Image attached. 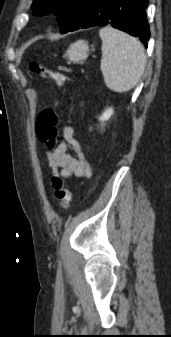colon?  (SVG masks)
<instances>
[{
    "label": "colon",
    "instance_id": "obj_1",
    "mask_svg": "<svg viewBox=\"0 0 171 337\" xmlns=\"http://www.w3.org/2000/svg\"><path fill=\"white\" fill-rule=\"evenodd\" d=\"M29 66L33 73L48 78L56 86H63L67 82L66 76L47 68L38 62H31ZM59 121L60 116L54 109H45L37 116L35 123L36 135L49 149H53L56 145L58 138L57 126ZM52 184L60 207L66 209L69 206L72 197L69 185L61 176L53 177Z\"/></svg>",
    "mask_w": 171,
    "mask_h": 337
}]
</instances>
